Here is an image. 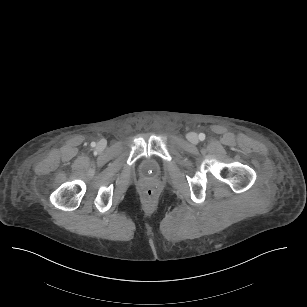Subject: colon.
<instances>
[{
    "mask_svg": "<svg viewBox=\"0 0 307 307\" xmlns=\"http://www.w3.org/2000/svg\"><path fill=\"white\" fill-rule=\"evenodd\" d=\"M141 196L145 200H153L157 196V189L153 185H145L141 189Z\"/></svg>",
    "mask_w": 307,
    "mask_h": 307,
    "instance_id": "5ec220e1",
    "label": "colon"
}]
</instances>
